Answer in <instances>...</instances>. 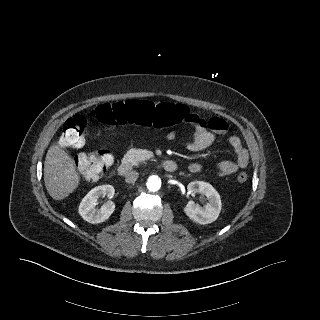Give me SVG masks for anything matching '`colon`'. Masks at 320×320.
Wrapping results in <instances>:
<instances>
[{"label":"colon","mask_w":320,"mask_h":320,"mask_svg":"<svg viewBox=\"0 0 320 320\" xmlns=\"http://www.w3.org/2000/svg\"><path fill=\"white\" fill-rule=\"evenodd\" d=\"M91 116L104 124H137L145 127L164 128L184 120V107L172 103L154 104L149 101L132 99L118 103H105L93 109ZM87 121L83 116L67 119L62 128L61 142L66 147H81L85 141ZM112 155L105 151L81 153L75 158L80 173L89 180L101 178L112 165ZM237 180L244 183L248 174L241 172Z\"/></svg>","instance_id":"1"}]
</instances>
